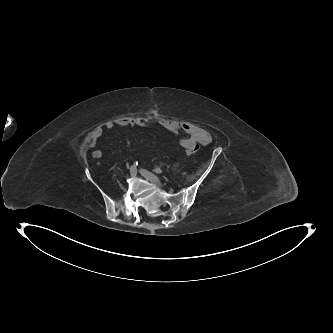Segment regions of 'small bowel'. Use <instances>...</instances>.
<instances>
[{
    "label": "small bowel",
    "instance_id": "small-bowel-1",
    "mask_svg": "<svg viewBox=\"0 0 333 333\" xmlns=\"http://www.w3.org/2000/svg\"><path fill=\"white\" fill-rule=\"evenodd\" d=\"M163 129L173 133L178 134L180 132L184 133V136L179 140V145L186 150H193L195 145H208L212 141V136L205 129L199 127L198 125L190 122H178L169 119H163L160 122ZM115 126L120 127H145L147 126V121L142 118H120L116 121H108L105 124L107 129H113ZM103 134L101 127L96 128L92 133L88 141V145L94 148L97 145L98 140ZM92 156L95 159H100L103 156L102 151L96 149L92 152Z\"/></svg>",
    "mask_w": 333,
    "mask_h": 333
}]
</instances>
